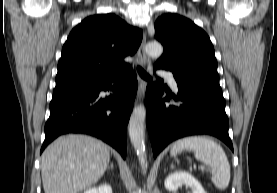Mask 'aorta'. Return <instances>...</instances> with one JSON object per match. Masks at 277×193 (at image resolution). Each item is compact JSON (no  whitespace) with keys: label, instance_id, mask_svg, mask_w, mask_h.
<instances>
[{"label":"aorta","instance_id":"762f6f07","mask_svg":"<svg viewBox=\"0 0 277 193\" xmlns=\"http://www.w3.org/2000/svg\"><path fill=\"white\" fill-rule=\"evenodd\" d=\"M146 53L152 57H159L163 53V47L158 42H150L145 47ZM145 115L143 105L135 107L129 121V137L139 158L143 173L147 170L145 154Z\"/></svg>","mask_w":277,"mask_h":193}]
</instances>
